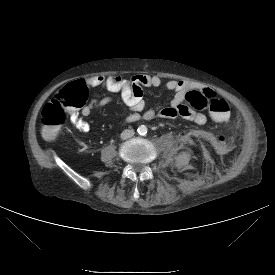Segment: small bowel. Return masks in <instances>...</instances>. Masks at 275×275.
I'll use <instances>...</instances> for the list:
<instances>
[{"mask_svg": "<svg viewBox=\"0 0 275 275\" xmlns=\"http://www.w3.org/2000/svg\"><path fill=\"white\" fill-rule=\"evenodd\" d=\"M91 87H102L111 93L120 95L122 102L130 109V114L121 120L122 123H132L140 120H153L155 118L172 119L183 116L189 120L204 124L207 119L203 114L194 112L184 101V92L188 89H199L204 93L213 92L209 88H203L193 82L184 80H169L165 83L167 90L174 92V97L168 106H158L146 109L143 97V89L148 87H159L162 84L161 77L157 75L136 74L129 78L122 76H93L87 80ZM115 102L111 95L92 99L88 106L82 110V114L87 116L92 109L104 107ZM72 123L81 132L90 131V124L78 115L72 117ZM211 144L215 152L224 154L229 151L231 142L227 134L218 132L213 135Z\"/></svg>", "mask_w": 275, "mask_h": 275, "instance_id": "1", "label": "small bowel"}]
</instances>
